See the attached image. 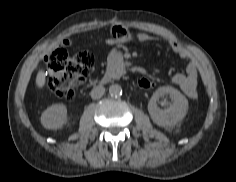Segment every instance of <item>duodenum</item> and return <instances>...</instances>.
I'll use <instances>...</instances> for the list:
<instances>
[{"label": "duodenum", "instance_id": "duodenum-1", "mask_svg": "<svg viewBox=\"0 0 236 182\" xmlns=\"http://www.w3.org/2000/svg\"><path fill=\"white\" fill-rule=\"evenodd\" d=\"M123 61H114L102 77V83L121 77L124 74Z\"/></svg>", "mask_w": 236, "mask_h": 182}]
</instances>
